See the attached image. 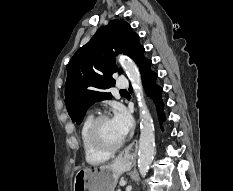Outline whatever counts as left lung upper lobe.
Wrapping results in <instances>:
<instances>
[{
  "mask_svg": "<svg viewBox=\"0 0 233 191\" xmlns=\"http://www.w3.org/2000/svg\"><path fill=\"white\" fill-rule=\"evenodd\" d=\"M139 36L123 20H112L77 50L67 65L65 104L72 120L81 123L93 103L111 98L106 90L114 87L112 74L122 73L114 56L127 54L139 65L144 57Z\"/></svg>",
  "mask_w": 233,
  "mask_h": 191,
  "instance_id": "left-lung-upper-lobe-1",
  "label": "left lung upper lobe"
}]
</instances>
